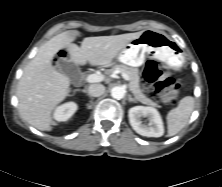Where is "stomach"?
Here are the masks:
<instances>
[{"instance_id": "stomach-1", "label": "stomach", "mask_w": 222, "mask_h": 187, "mask_svg": "<svg viewBox=\"0 0 222 187\" xmlns=\"http://www.w3.org/2000/svg\"><path fill=\"white\" fill-rule=\"evenodd\" d=\"M165 62L173 70H180L185 56L179 44L166 33L147 29L140 37L130 41L118 54V61L132 67H139L146 57Z\"/></svg>"}]
</instances>
